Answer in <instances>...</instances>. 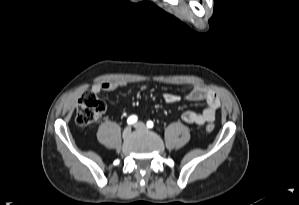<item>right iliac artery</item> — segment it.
<instances>
[{"label": "right iliac artery", "instance_id": "obj_1", "mask_svg": "<svg viewBox=\"0 0 299 205\" xmlns=\"http://www.w3.org/2000/svg\"><path fill=\"white\" fill-rule=\"evenodd\" d=\"M137 116L136 115H132V116H130L129 118H128V120H127V123L129 124V125H131V124H134L136 121H137Z\"/></svg>", "mask_w": 299, "mask_h": 205}]
</instances>
